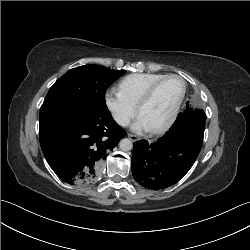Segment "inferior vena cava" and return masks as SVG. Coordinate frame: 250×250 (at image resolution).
I'll use <instances>...</instances> for the list:
<instances>
[{"label":"inferior vena cava","mask_w":250,"mask_h":250,"mask_svg":"<svg viewBox=\"0 0 250 250\" xmlns=\"http://www.w3.org/2000/svg\"><path fill=\"white\" fill-rule=\"evenodd\" d=\"M114 119L121 126H127L130 123V118L124 115L116 114Z\"/></svg>","instance_id":"obj_1"}]
</instances>
